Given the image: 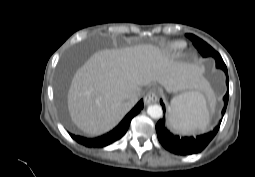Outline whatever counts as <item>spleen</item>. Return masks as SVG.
I'll return each instance as SVG.
<instances>
[{
    "label": "spleen",
    "instance_id": "spleen-1",
    "mask_svg": "<svg viewBox=\"0 0 255 177\" xmlns=\"http://www.w3.org/2000/svg\"><path fill=\"white\" fill-rule=\"evenodd\" d=\"M209 121L206 100L201 93L193 92L172 99L169 124L177 132L187 133L196 128L205 129Z\"/></svg>",
    "mask_w": 255,
    "mask_h": 177
}]
</instances>
